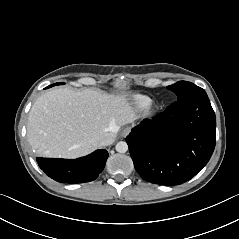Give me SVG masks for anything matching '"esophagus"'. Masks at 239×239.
Masks as SVG:
<instances>
[{
	"label": "esophagus",
	"instance_id": "34e87169",
	"mask_svg": "<svg viewBox=\"0 0 239 239\" xmlns=\"http://www.w3.org/2000/svg\"><path fill=\"white\" fill-rule=\"evenodd\" d=\"M131 131V127H125L122 132H121V136L122 137H126Z\"/></svg>",
	"mask_w": 239,
	"mask_h": 239
}]
</instances>
